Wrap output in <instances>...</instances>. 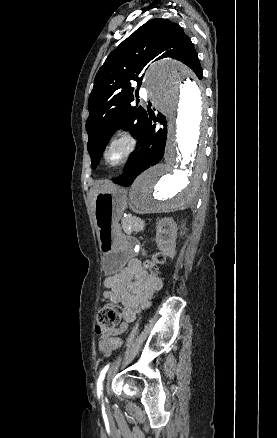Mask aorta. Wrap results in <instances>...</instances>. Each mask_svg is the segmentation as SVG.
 I'll return each instance as SVG.
<instances>
[{
    "label": "aorta",
    "instance_id": "1",
    "mask_svg": "<svg viewBox=\"0 0 277 438\" xmlns=\"http://www.w3.org/2000/svg\"><path fill=\"white\" fill-rule=\"evenodd\" d=\"M146 88L167 118L169 138L163 162L133 185L132 207L140 214L174 211L195 195L204 168L205 106L202 89L184 66L163 59L146 71Z\"/></svg>",
    "mask_w": 277,
    "mask_h": 438
}]
</instances>
